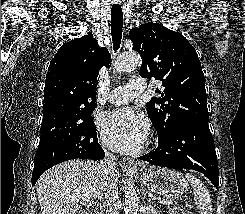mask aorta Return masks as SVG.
<instances>
[{
    "label": "aorta",
    "mask_w": 245,
    "mask_h": 214,
    "mask_svg": "<svg viewBox=\"0 0 245 214\" xmlns=\"http://www.w3.org/2000/svg\"><path fill=\"white\" fill-rule=\"evenodd\" d=\"M141 65V57L136 52L121 55L114 64L118 73L135 69ZM125 194V214H137L138 197L132 182H127L123 187Z\"/></svg>",
    "instance_id": "aorta-1"
}]
</instances>
